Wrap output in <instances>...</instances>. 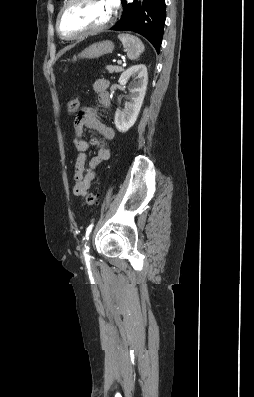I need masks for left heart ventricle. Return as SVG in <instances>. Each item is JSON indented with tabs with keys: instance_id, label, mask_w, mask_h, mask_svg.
<instances>
[{
	"instance_id": "left-heart-ventricle-1",
	"label": "left heart ventricle",
	"mask_w": 254,
	"mask_h": 397,
	"mask_svg": "<svg viewBox=\"0 0 254 397\" xmlns=\"http://www.w3.org/2000/svg\"><path fill=\"white\" fill-rule=\"evenodd\" d=\"M106 0H76L63 13L61 29L66 34H76L105 23L111 14Z\"/></svg>"
}]
</instances>
